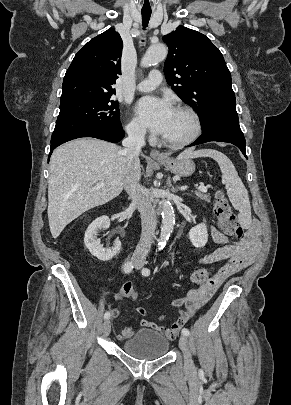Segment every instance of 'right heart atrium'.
Listing matches in <instances>:
<instances>
[{
	"mask_svg": "<svg viewBox=\"0 0 291 405\" xmlns=\"http://www.w3.org/2000/svg\"><path fill=\"white\" fill-rule=\"evenodd\" d=\"M126 133L134 140H144L146 137V130L142 124L136 119H130L125 126Z\"/></svg>",
	"mask_w": 291,
	"mask_h": 405,
	"instance_id": "d8ad5b80",
	"label": "right heart atrium"
}]
</instances>
